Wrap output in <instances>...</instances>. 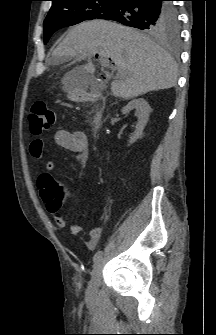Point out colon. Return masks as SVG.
<instances>
[{
    "mask_svg": "<svg viewBox=\"0 0 216 335\" xmlns=\"http://www.w3.org/2000/svg\"><path fill=\"white\" fill-rule=\"evenodd\" d=\"M29 121L31 132L34 134H41L54 125L55 113L43 101H39L33 106L29 115ZM54 196L55 192L53 188L44 194L46 200L53 199ZM56 204L57 206L60 205L58 201H56Z\"/></svg>",
    "mask_w": 216,
    "mask_h": 335,
    "instance_id": "1",
    "label": "colon"
}]
</instances>
